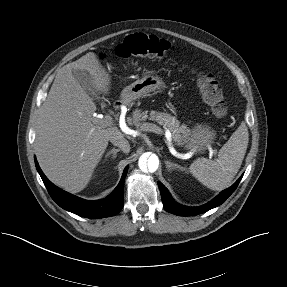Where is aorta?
<instances>
[{"instance_id": "obj_1", "label": "aorta", "mask_w": 287, "mask_h": 287, "mask_svg": "<svg viewBox=\"0 0 287 287\" xmlns=\"http://www.w3.org/2000/svg\"><path fill=\"white\" fill-rule=\"evenodd\" d=\"M159 166V159L158 156L155 154H151L149 156L142 155L139 158V168L142 171H148V172H155L158 169Z\"/></svg>"}]
</instances>
